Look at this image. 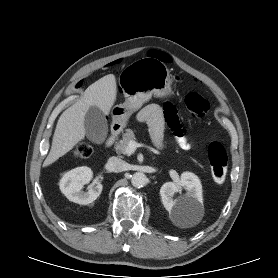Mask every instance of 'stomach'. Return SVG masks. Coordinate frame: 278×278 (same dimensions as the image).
I'll use <instances>...</instances> for the list:
<instances>
[{
  "label": "stomach",
  "mask_w": 278,
  "mask_h": 278,
  "mask_svg": "<svg viewBox=\"0 0 278 278\" xmlns=\"http://www.w3.org/2000/svg\"><path fill=\"white\" fill-rule=\"evenodd\" d=\"M119 86L125 101L112 109L113 124L123 127L129 116L152 95L163 98L172 94L166 64L156 58L139 59L125 67L119 75Z\"/></svg>",
  "instance_id": "0dacf381"
}]
</instances>
